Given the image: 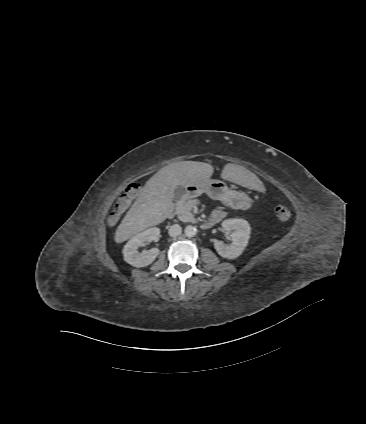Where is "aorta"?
<instances>
[{"instance_id":"aorta-1","label":"aorta","mask_w":366,"mask_h":424,"mask_svg":"<svg viewBox=\"0 0 366 424\" xmlns=\"http://www.w3.org/2000/svg\"><path fill=\"white\" fill-rule=\"evenodd\" d=\"M185 235L188 237H193L197 234V228L196 226L188 225L185 227Z\"/></svg>"}]
</instances>
